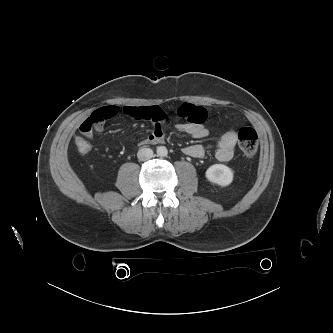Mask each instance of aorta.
Segmentation results:
<instances>
[{
  "instance_id": "aorta-1",
  "label": "aorta",
  "mask_w": 333,
  "mask_h": 333,
  "mask_svg": "<svg viewBox=\"0 0 333 333\" xmlns=\"http://www.w3.org/2000/svg\"><path fill=\"white\" fill-rule=\"evenodd\" d=\"M168 154V150L165 146L157 147V155L160 157H166Z\"/></svg>"
}]
</instances>
